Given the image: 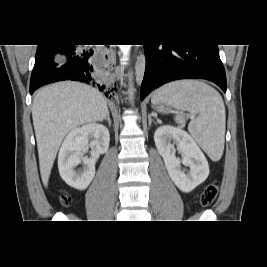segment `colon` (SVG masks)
<instances>
[{
    "instance_id": "colon-1",
    "label": "colon",
    "mask_w": 267,
    "mask_h": 267,
    "mask_svg": "<svg viewBox=\"0 0 267 267\" xmlns=\"http://www.w3.org/2000/svg\"><path fill=\"white\" fill-rule=\"evenodd\" d=\"M218 195V184L216 182L210 183L204 189L200 202L203 207L210 206L216 199ZM60 202L64 206H69L72 202V198L68 194H62L60 197Z\"/></svg>"
}]
</instances>
